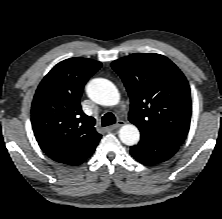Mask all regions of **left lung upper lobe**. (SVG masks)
Segmentation results:
<instances>
[{"mask_svg":"<svg viewBox=\"0 0 222 219\" xmlns=\"http://www.w3.org/2000/svg\"><path fill=\"white\" fill-rule=\"evenodd\" d=\"M131 100L129 120L141 133L180 146L191 120L188 82L178 67L159 54L135 53L115 60Z\"/></svg>","mask_w":222,"mask_h":219,"instance_id":"obj_1","label":"left lung upper lobe"}]
</instances>
